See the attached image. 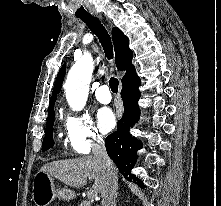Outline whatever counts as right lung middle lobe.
Returning <instances> with one entry per match:
<instances>
[{
	"label": "right lung middle lobe",
	"mask_w": 221,
	"mask_h": 206,
	"mask_svg": "<svg viewBox=\"0 0 221 206\" xmlns=\"http://www.w3.org/2000/svg\"><path fill=\"white\" fill-rule=\"evenodd\" d=\"M53 122H54V109L51 110L50 113H48V118L46 122V132H45V138L43 139V145L42 149L43 151L49 149L50 147H53L54 141H53Z\"/></svg>",
	"instance_id": "dd1d6c3e"
}]
</instances>
